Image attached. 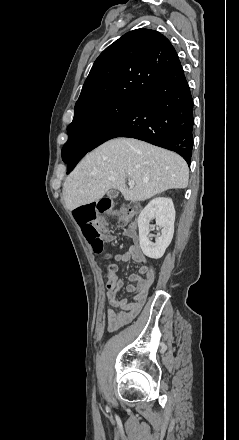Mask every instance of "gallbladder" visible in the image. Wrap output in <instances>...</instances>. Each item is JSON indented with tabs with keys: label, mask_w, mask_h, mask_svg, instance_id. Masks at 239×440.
Instances as JSON below:
<instances>
[{
	"label": "gallbladder",
	"mask_w": 239,
	"mask_h": 440,
	"mask_svg": "<svg viewBox=\"0 0 239 440\" xmlns=\"http://www.w3.org/2000/svg\"><path fill=\"white\" fill-rule=\"evenodd\" d=\"M119 194L120 193L118 192L117 189L110 190V192H107L108 198H116V196H118Z\"/></svg>",
	"instance_id": "obj_1"
}]
</instances>
